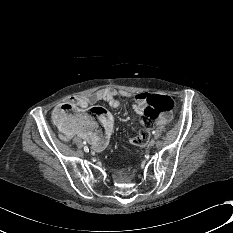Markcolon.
I'll return each mask as SVG.
<instances>
[{"mask_svg": "<svg viewBox=\"0 0 233 233\" xmlns=\"http://www.w3.org/2000/svg\"><path fill=\"white\" fill-rule=\"evenodd\" d=\"M135 107L142 112L141 128L139 135L134 140L135 144L142 145L150 135L151 125L154 121L165 118H170V113L173 109V101L166 95H151L149 93H140L135 98ZM75 114L74 107L71 104L65 103L59 106L56 115L53 117L56 124L60 127L70 126L69 119ZM111 114L103 107H94L88 113H80L76 119V124L83 128H96L94 118L109 119Z\"/></svg>", "mask_w": 233, "mask_h": 233, "instance_id": "1", "label": "colon"}]
</instances>
